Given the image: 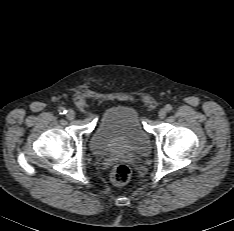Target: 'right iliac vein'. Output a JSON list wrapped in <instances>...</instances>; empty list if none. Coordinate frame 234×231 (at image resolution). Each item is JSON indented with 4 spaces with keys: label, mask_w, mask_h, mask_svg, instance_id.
<instances>
[{
    "label": "right iliac vein",
    "mask_w": 234,
    "mask_h": 231,
    "mask_svg": "<svg viewBox=\"0 0 234 231\" xmlns=\"http://www.w3.org/2000/svg\"><path fill=\"white\" fill-rule=\"evenodd\" d=\"M75 116H76V114L73 110H69L66 114V117L68 120H74Z\"/></svg>",
    "instance_id": "right-iliac-vein-1"
}]
</instances>
